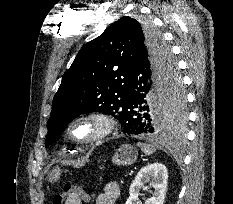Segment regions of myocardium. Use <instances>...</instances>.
I'll use <instances>...</instances> for the list:
<instances>
[{"instance_id":"f54148a6","label":"myocardium","mask_w":233,"mask_h":204,"mask_svg":"<svg viewBox=\"0 0 233 204\" xmlns=\"http://www.w3.org/2000/svg\"><path fill=\"white\" fill-rule=\"evenodd\" d=\"M93 124L97 127L96 132L83 139H78L73 135L74 128L79 124ZM115 128L114 119L103 112H89L74 117L66 127L68 138L79 144H91L98 142L112 133Z\"/></svg>"}]
</instances>
